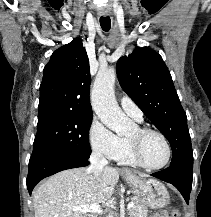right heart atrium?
<instances>
[{
  "instance_id": "obj_1",
  "label": "right heart atrium",
  "mask_w": 211,
  "mask_h": 217,
  "mask_svg": "<svg viewBox=\"0 0 211 217\" xmlns=\"http://www.w3.org/2000/svg\"><path fill=\"white\" fill-rule=\"evenodd\" d=\"M89 141L94 152L114 160L122 149V138L112 132L98 119L91 122Z\"/></svg>"
}]
</instances>
